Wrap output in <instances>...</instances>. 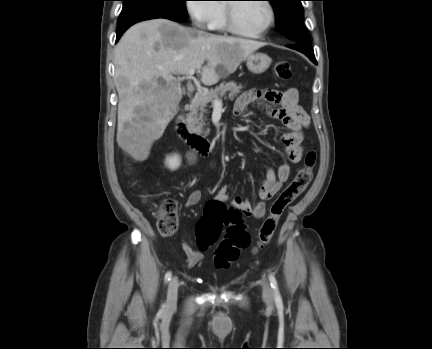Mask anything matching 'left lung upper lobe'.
<instances>
[{"instance_id":"left-lung-upper-lobe-1","label":"left lung upper lobe","mask_w":432,"mask_h":349,"mask_svg":"<svg viewBox=\"0 0 432 349\" xmlns=\"http://www.w3.org/2000/svg\"><path fill=\"white\" fill-rule=\"evenodd\" d=\"M276 14V28L294 43H311L303 25L302 0H268Z\"/></svg>"}]
</instances>
